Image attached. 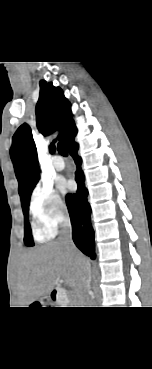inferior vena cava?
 Wrapping results in <instances>:
<instances>
[{"instance_id":"602c4592","label":"inferior vena cava","mask_w":152,"mask_h":369,"mask_svg":"<svg viewBox=\"0 0 152 369\" xmlns=\"http://www.w3.org/2000/svg\"><path fill=\"white\" fill-rule=\"evenodd\" d=\"M60 231H59V242L64 244L66 250L74 254L76 247L72 241V226L70 218L65 216L60 220ZM90 283H91V269L89 264L81 265V288H82V300L83 307H93V298L90 294Z\"/></svg>"}]
</instances>
